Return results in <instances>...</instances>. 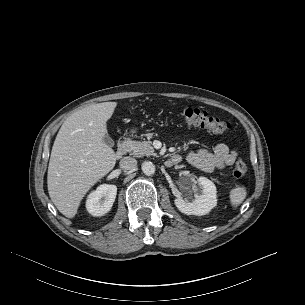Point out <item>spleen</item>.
I'll use <instances>...</instances> for the list:
<instances>
[{
    "instance_id": "spleen-1",
    "label": "spleen",
    "mask_w": 305,
    "mask_h": 305,
    "mask_svg": "<svg viewBox=\"0 0 305 305\" xmlns=\"http://www.w3.org/2000/svg\"><path fill=\"white\" fill-rule=\"evenodd\" d=\"M247 191L244 186H236L230 191V204L235 208L238 207L246 198Z\"/></svg>"
}]
</instances>
